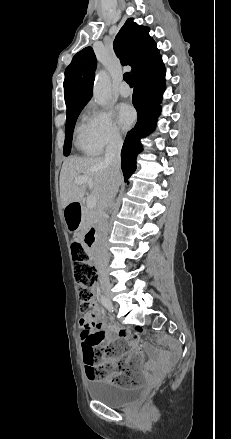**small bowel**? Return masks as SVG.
<instances>
[{
	"instance_id": "c3829d8e",
	"label": "small bowel",
	"mask_w": 231,
	"mask_h": 439,
	"mask_svg": "<svg viewBox=\"0 0 231 439\" xmlns=\"http://www.w3.org/2000/svg\"><path fill=\"white\" fill-rule=\"evenodd\" d=\"M103 311L101 307L93 302L91 310L81 317L78 322V326L81 329L80 340L82 350L87 346L99 347L106 341H112L117 337L127 338L131 343L137 347L139 352L142 351V347L138 344L140 342V337L138 334H131L130 330L116 327L114 325H109L106 328V324L102 319ZM120 359H123L126 365L134 368L136 373L140 371L146 374V370H142L141 362L138 359L133 358L132 354H127L122 358H115L112 360L103 359L102 362H109L113 365H118ZM114 373L112 371L111 375Z\"/></svg>"
}]
</instances>
